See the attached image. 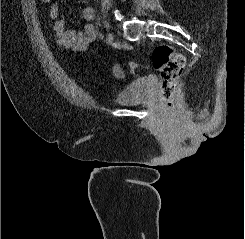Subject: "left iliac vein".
I'll use <instances>...</instances> for the list:
<instances>
[{"instance_id": "left-iliac-vein-1", "label": "left iliac vein", "mask_w": 245, "mask_h": 239, "mask_svg": "<svg viewBox=\"0 0 245 239\" xmlns=\"http://www.w3.org/2000/svg\"><path fill=\"white\" fill-rule=\"evenodd\" d=\"M106 41L109 45L114 43V35L111 32L107 34Z\"/></svg>"}]
</instances>
